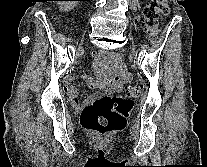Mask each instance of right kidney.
<instances>
[{"label": "right kidney", "mask_w": 207, "mask_h": 167, "mask_svg": "<svg viewBox=\"0 0 207 167\" xmlns=\"http://www.w3.org/2000/svg\"><path fill=\"white\" fill-rule=\"evenodd\" d=\"M73 3L75 2H65V1L58 2L60 9L64 11H70L73 8Z\"/></svg>", "instance_id": "1"}]
</instances>
